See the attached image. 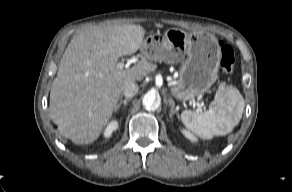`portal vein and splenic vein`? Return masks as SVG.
I'll return each instance as SVG.
<instances>
[{
	"label": "portal vein and splenic vein",
	"instance_id": "obj_1",
	"mask_svg": "<svg viewBox=\"0 0 292 192\" xmlns=\"http://www.w3.org/2000/svg\"><path fill=\"white\" fill-rule=\"evenodd\" d=\"M116 67H117L118 69H123V68L125 67V64L122 63V62H120V63H118V64L116 65Z\"/></svg>",
	"mask_w": 292,
	"mask_h": 192
}]
</instances>
